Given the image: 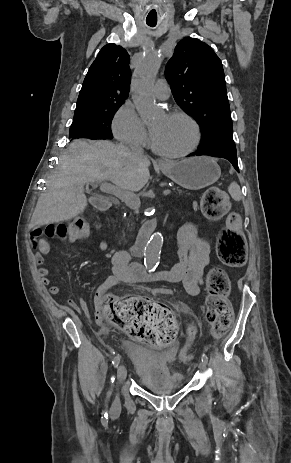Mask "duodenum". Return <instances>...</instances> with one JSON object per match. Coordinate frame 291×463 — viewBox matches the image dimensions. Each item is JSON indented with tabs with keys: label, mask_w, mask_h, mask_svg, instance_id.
Wrapping results in <instances>:
<instances>
[{
	"label": "duodenum",
	"mask_w": 291,
	"mask_h": 463,
	"mask_svg": "<svg viewBox=\"0 0 291 463\" xmlns=\"http://www.w3.org/2000/svg\"><path fill=\"white\" fill-rule=\"evenodd\" d=\"M93 203L100 210H106L110 206V201L107 198H104V197H94L93 198ZM155 225H156V223H155L154 220H148L142 225V227L139 230L137 240L135 241V243L133 244V246L131 248V252L134 255L141 256L143 254L144 248L146 246V242L148 240V237H149L150 233L154 230ZM145 272H147L146 276L150 275V273L147 271V269L145 270Z\"/></svg>",
	"instance_id": "duodenum-1"
}]
</instances>
